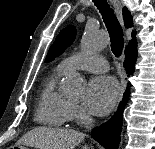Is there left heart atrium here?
<instances>
[{
    "mask_svg": "<svg viewBox=\"0 0 155 149\" xmlns=\"http://www.w3.org/2000/svg\"><path fill=\"white\" fill-rule=\"evenodd\" d=\"M118 94L119 89L114 78L95 77L88 84L85 106L94 115H106L116 103Z\"/></svg>",
    "mask_w": 155,
    "mask_h": 149,
    "instance_id": "obj_1",
    "label": "left heart atrium"
}]
</instances>
